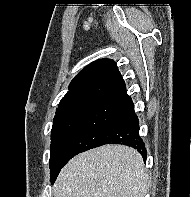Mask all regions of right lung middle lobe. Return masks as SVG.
<instances>
[{"label":"right lung middle lobe","instance_id":"obj_1","mask_svg":"<svg viewBox=\"0 0 191 197\" xmlns=\"http://www.w3.org/2000/svg\"><path fill=\"white\" fill-rule=\"evenodd\" d=\"M93 107L56 114L51 134L50 174L54 183L85 119Z\"/></svg>","mask_w":191,"mask_h":197}]
</instances>
